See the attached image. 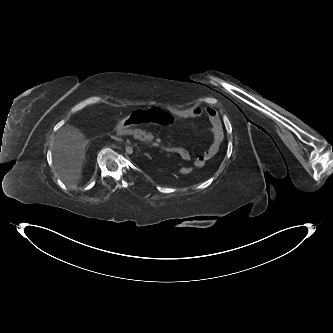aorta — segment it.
<instances>
[{"label": "aorta", "instance_id": "762f6f07", "mask_svg": "<svg viewBox=\"0 0 333 333\" xmlns=\"http://www.w3.org/2000/svg\"><path fill=\"white\" fill-rule=\"evenodd\" d=\"M126 152H127L128 154H132V152H133V148L130 147V146H127V147H126Z\"/></svg>", "mask_w": 333, "mask_h": 333}]
</instances>
